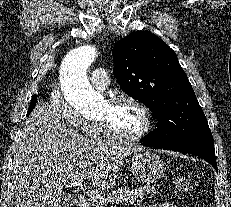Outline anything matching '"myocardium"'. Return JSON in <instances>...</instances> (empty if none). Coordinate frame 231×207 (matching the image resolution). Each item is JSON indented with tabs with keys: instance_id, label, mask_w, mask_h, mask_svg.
<instances>
[{
	"instance_id": "f54148a6",
	"label": "myocardium",
	"mask_w": 231,
	"mask_h": 207,
	"mask_svg": "<svg viewBox=\"0 0 231 207\" xmlns=\"http://www.w3.org/2000/svg\"><path fill=\"white\" fill-rule=\"evenodd\" d=\"M106 101L109 105H112V106L123 103V102L131 103L135 105L136 107H138L144 116L143 128L139 132L133 135H125V134L119 133L110 125L107 119L98 118L97 122L100 125L102 133L107 138L115 140V141H119V142H134V141H138L146 137L152 131V128H153L152 112L150 108L140 99L132 95H128V94H119V95H112L108 97Z\"/></svg>"
}]
</instances>
